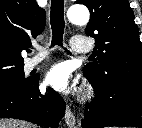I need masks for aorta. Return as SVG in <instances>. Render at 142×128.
<instances>
[{"label":"aorta","instance_id":"762f6f07","mask_svg":"<svg viewBox=\"0 0 142 128\" xmlns=\"http://www.w3.org/2000/svg\"><path fill=\"white\" fill-rule=\"evenodd\" d=\"M67 17L72 24L86 25L89 21L90 14L86 7L74 6L68 10Z\"/></svg>","mask_w":142,"mask_h":128}]
</instances>
